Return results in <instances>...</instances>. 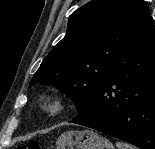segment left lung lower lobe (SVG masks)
Instances as JSON below:
<instances>
[{
    "label": "left lung lower lobe",
    "mask_w": 155,
    "mask_h": 149,
    "mask_svg": "<svg viewBox=\"0 0 155 149\" xmlns=\"http://www.w3.org/2000/svg\"><path fill=\"white\" fill-rule=\"evenodd\" d=\"M155 149V28L146 14L118 52L88 105L70 121Z\"/></svg>",
    "instance_id": "0a47b994"
}]
</instances>
